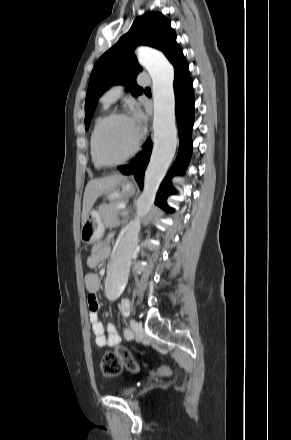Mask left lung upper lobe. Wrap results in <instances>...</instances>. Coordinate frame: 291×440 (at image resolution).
<instances>
[{
  "mask_svg": "<svg viewBox=\"0 0 291 440\" xmlns=\"http://www.w3.org/2000/svg\"><path fill=\"white\" fill-rule=\"evenodd\" d=\"M138 45H148L161 50L173 62L182 55L176 42V34L170 20L162 13L147 12L134 20L130 30L107 50L97 61L90 79L85 101V126L93 117L98 98L105 90L116 84H124L134 96L143 93L136 85L135 77L142 70L133 50Z\"/></svg>",
  "mask_w": 291,
  "mask_h": 440,
  "instance_id": "obj_1",
  "label": "left lung upper lobe"
}]
</instances>
